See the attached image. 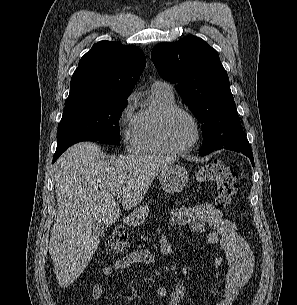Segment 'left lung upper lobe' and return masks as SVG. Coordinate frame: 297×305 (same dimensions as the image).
<instances>
[{
	"label": "left lung upper lobe",
	"mask_w": 297,
	"mask_h": 305,
	"mask_svg": "<svg viewBox=\"0 0 297 305\" xmlns=\"http://www.w3.org/2000/svg\"><path fill=\"white\" fill-rule=\"evenodd\" d=\"M151 59L159 75L175 84L177 92L202 124L200 154L224 146L248 145L229 78L218 52L204 40L187 36L154 47Z\"/></svg>",
	"instance_id": "1"
}]
</instances>
